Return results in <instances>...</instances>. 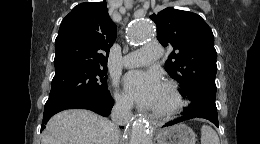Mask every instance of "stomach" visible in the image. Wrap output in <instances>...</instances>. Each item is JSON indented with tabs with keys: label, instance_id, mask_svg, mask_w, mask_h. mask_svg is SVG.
<instances>
[{
	"label": "stomach",
	"instance_id": "stomach-1",
	"mask_svg": "<svg viewBox=\"0 0 260 144\" xmlns=\"http://www.w3.org/2000/svg\"><path fill=\"white\" fill-rule=\"evenodd\" d=\"M158 144H195L196 134L185 124H177L159 131L156 135Z\"/></svg>",
	"mask_w": 260,
	"mask_h": 144
}]
</instances>
